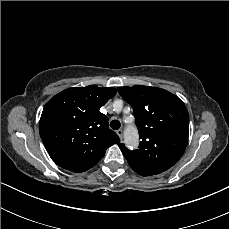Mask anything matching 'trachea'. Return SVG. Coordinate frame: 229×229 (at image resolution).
Instances as JSON below:
<instances>
[{"label":"trachea","mask_w":229,"mask_h":229,"mask_svg":"<svg viewBox=\"0 0 229 229\" xmlns=\"http://www.w3.org/2000/svg\"><path fill=\"white\" fill-rule=\"evenodd\" d=\"M121 124L118 120H112L110 122V127L113 129V130H118L120 128Z\"/></svg>","instance_id":"1"}]
</instances>
